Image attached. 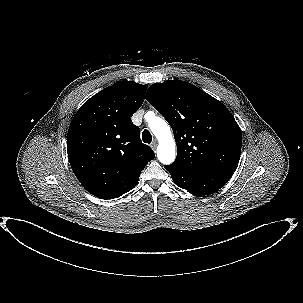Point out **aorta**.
<instances>
[{
  "mask_svg": "<svg viewBox=\"0 0 303 303\" xmlns=\"http://www.w3.org/2000/svg\"><path fill=\"white\" fill-rule=\"evenodd\" d=\"M149 128L159 141L157 157L165 165L174 162L176 145L168 123L160 117L153 116L148 122Z\"/></svg>",
  "mask_w": 303,
  "mask_h": 303,
  "instance_id": "obj_1",
  "label": "aorta"
}]
</instances>
